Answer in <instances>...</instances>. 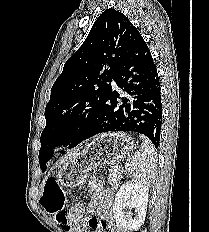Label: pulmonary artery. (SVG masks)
<instances>
[{
    "instance_id": "1",
    "label": "pulmonary artery",
    "mask_w": 209,
    "mask_h": 232,
    "mask_svg": "<svg viewBox=\"0 0 209 232\" xmlns=\"http://www.w3.org/2000/svg\"><path fill=\"white\" fill-rule=\"evenodd\" d=\"M112 86H113V88H117V85L114 81H112Z\"/></svg>"
}]
</instances>
